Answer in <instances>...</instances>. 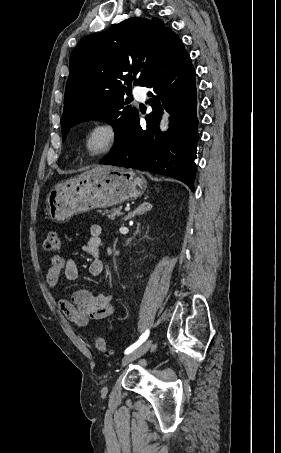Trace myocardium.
Returning a JSON list of instances; mask_svg holds the SVG:
<instances>
[{"label": "myocardium", "mask_w": 281, "mask_h": 453, "mask_svg": "<svg viewBox=\"0 0 281 453\" xmlns=\"http://www.w3.org/2000/svg\"><path fill=\"white\" fill-rule=\"evenodd\" d=\"M118 141L115 127L108 122H96L90 125L80 139L81 153L88 158L110 151Z\"/></svg>", "instance_id": "myocardium-1"}]
</instances>
